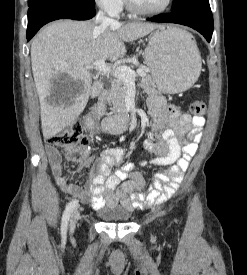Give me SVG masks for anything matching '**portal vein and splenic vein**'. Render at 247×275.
<instances>
[{
  "instance_id": "obj_1",
  "label": "portal vein and splenic vein",
  "mask_w": 247,
  "mask_h": 275,
  "mask_svg": "<svg viewBox=\"0 0 247 275\" xmlns=\"http://www.w3.org/2000/svg\"><path fill=\"white\" fill-rule=\"evenodd\" d=\"M89 68L90 69L93 68L104 75L113 74L118 79H122L126 81L130 86H133V87H135L134 80L137 75L139 76L146 75L143 69H137V71H134L127 66H117L113 68L107 65L103 60L95 61Z\"/></svg>"
}]
</instances>
